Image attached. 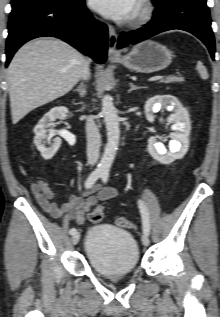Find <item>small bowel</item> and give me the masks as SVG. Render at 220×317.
Here are the masks:
<instances>
[{
	"label": "small bowel",
	"instance_id": "1",
	"mask_svg": "<svg viewBox=\"0 0 220 317\" xmlns=\"http://www.w3.org/2000/svg\"><path fill=\"white\" fill-rule=\"evenodd\" d=\"M31 190L40 207L51 217L58 219L66 215L78 224L85 221V217L101 202L117 195L114 188H100L95 185L82 195H71L69 201L58 206L55 202L57 196L52 185L45 180H37L32 184Z\"/></svg>",
	"mask_w": 220,
	"mask_h": 317
}]
</instances>
